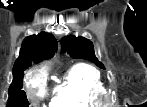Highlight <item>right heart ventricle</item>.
<instances>
[{"label": "right heart ventricle", "mask_w": 147, "mask_h": 107, "mask_svg": "<svg viewBox=\"0 0 147 107\" xmlns=\"http://www.w3.org/2000/svg\"><path fill=\"white\" fill-rule=\"evenodd\" d=\"M104 92L101 73L95 67L78 63L66 73L54 89L53 107H100L99 96Z\"/></svg>", "instance_id": "1"}]
</instances>
